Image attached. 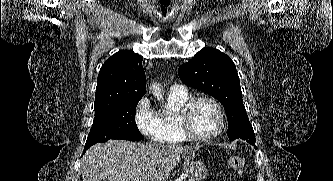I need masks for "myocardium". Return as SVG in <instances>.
<instances>
[{"label": "myocardium", "mask_w": 333, "mask_h": 181, "mask_svg": "<svg viewBox=\"0 0 333 181\" xmlns=\"http://www.w3.org/2000/svg\"><path fill=\"white\" fill-rule=\"evenodd\" d=\"M201 101H206L212 104L215 107L219 116V127L213 134L209 136H199L194 132L191 126L192 111L195 105ZM178 117L182 132L188 139L193 141H199V142L211 141L216 137H218L222 133L225 127V113L222 105L215 98L206 95L196 96L188 99L179 110Z\"/></svg>", "instance_id": "obj_1"}]
</instances>
